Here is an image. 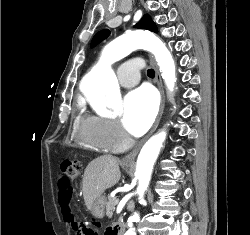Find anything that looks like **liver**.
Listing matches in <instances>:
<instances>
[{"label":"liver","instance_id":"obj_1","mask_svg":"<svg viewBox=\"0 0 250 235\" xmlns=\"http://www.w3.org/2000/svg\"><path fill=\"white\" fill-rule=\"evenodd\" d=\"M120 178L118 158L104 155L91 161L83 176V197L87 209L91 210L94 200L116 185Z\"/></svg>","mask_w":250,"mask_h":235}]
</instances>
